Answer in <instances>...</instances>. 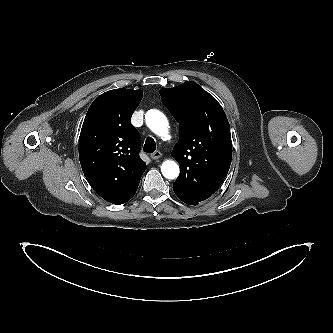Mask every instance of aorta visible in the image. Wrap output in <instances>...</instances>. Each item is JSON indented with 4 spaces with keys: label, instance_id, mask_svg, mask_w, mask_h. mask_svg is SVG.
Here are the masks:
<instances>
[{
    "label": "aorta",
    "instance_id": "obj_1",
    "mask_svg": "<svg viewBox=\"0 0 333 333\" xmlns=\"http://www.w3.org/2000/svg\"><path fill=\"white\" fill-rule=\"evenodd\" d=\"M147 126L158 136L168 133L169 123L166 116L158 110H150L145 116ZM161 172L167 179H175L179 175V166L172 160H166L161 166Z\"/></svg>",
    "mask_w": 333,
    "mask_h": 333
}]
</instances>
